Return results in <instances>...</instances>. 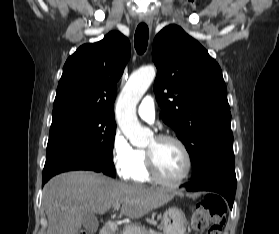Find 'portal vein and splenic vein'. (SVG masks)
Instances as JSON below:
<instances>
[{
	"label": "portal vein and splenic vein",
	"mask_w": 279,
	"mask_h": 234,
	"mask_svg": "<svg viewBox=\"0 0 279 234\" xmlns=\"http://www.w3.org/2000/svg\"><path fill=\"white\" fill-rule=\"evenodd\" d=\"M113 208L114 210H118L120 208V203L114 204Z\"/></svg>",
	"instance_id": "obj_1"
}]
</instances>
